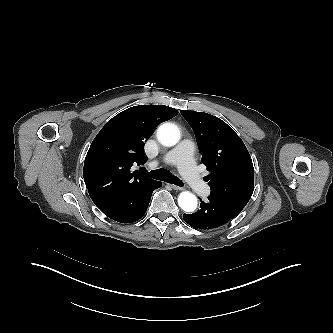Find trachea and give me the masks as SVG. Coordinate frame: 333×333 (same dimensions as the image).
<instances>
[{"mask_svg": "<svg viewBox=\"0 0 333 333\" xmlns=\"http://www.w3.org/2000/svg\"><path fill=\"white\" fill-rule=\"evenodd\" d=\"M141 173L151 177L153 179L156 180H161L167 183H171L177 186H183V182L177 178L176 176L172 175L171 173H169L167 170L165 169H156V170H152L150 172H148L145 168L141 169Z\"/></svg>", "mask_w": 333, "mask_h": 333, "instance_id": "obj_1", "label": "trachea"}]
</instances>
